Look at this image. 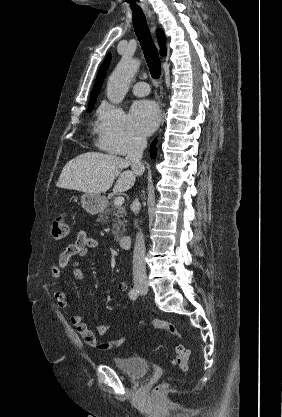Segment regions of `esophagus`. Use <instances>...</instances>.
<instances>
[{"instance_id":"esophagus-1","label":"esophagus","mask_w":282,"mask_h":417,"mask_svg":"<svg viewBox=\"0 0 282 417\" xmlns=\"http://www.w3.org/2000/svg\"><path fill=\"white\" fill-rule=\"evenodd\" d=\"M147 15L150 18V20L153 21V14L150 10H147Z\"/></svg>"}]
</instances>
